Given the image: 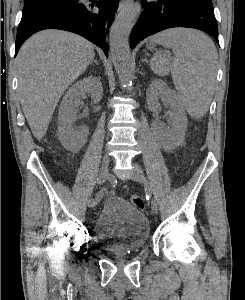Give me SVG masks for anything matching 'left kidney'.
I'll use <instances>...</instances> for the list:
<instances>
[{
    "instance_id": "1",
    "label": "left kidney",
    "mask_w": 245,
    "mask_h": 300,
    "mask_svg": "<svg viewBox=\"0 0 245 300\" xmlns=\"http://www.w3.org/2000/svg\"><path fill=\"white\" fill-rule=\"evenodd\" d=\"M146 96L148 108L152 112L159 110L160 99L170 107L169 122L171 128L163 125H157L155 128L160 143L167 149L179 146L185 136L187 117L178 95L163 80L156 79L148 87Z\"/></svg>"
}]
</instances>
